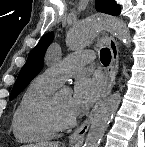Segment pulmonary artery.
<instances>
[{
  "label": "pulmonary artery",
  "mask_w": 145,
  "mask_h": 147,
  "mask_svg": "<svg viewBox=\"0 0 145 147\" xmlns=\"http://www.w3.org/2000/svg\"><path fill=\"white\" fill-rule=\"evenodd\" d=\"M94 61L91 51L72 53L64 59L50 65L44 74L56 83H61L65 78L79 72L86 64Z\"/></svg>",
  "instance_id": "1"
}]
</instances>
